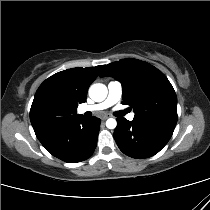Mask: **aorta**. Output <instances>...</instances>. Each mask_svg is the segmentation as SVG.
<instances>
[{
    "mask_svg": "<svg viewBox=\"0 0 210 210\" xmlns=\"http://www.w3.org/2000/svg\"><path fill=\"white\" fill-rule=\"evenodd\" d=\"M107 93H108L107 87L101 83L93 84L89 89V96L95 102H101V101L105 100V98L107 97ZM116 126H117V122L115 119L109 118L106 121L107 128L115 129Z\"/></svg>",
    "mask_w": 210,
    "mask_h": 210,
    "instance_id": "obj_1",
    "label": "aorta"
}]
</instances>
